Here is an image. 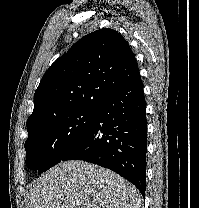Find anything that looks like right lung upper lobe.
Instances as JSON below:
<instances>
[{"instance_id":"1","label":"right lung upper lobe","mask_w":199,"mask_h":208,"mask_svg":"<svg viewBox=\"0 0 199 208\" xmlns=\"http://www.w3.org/2000/svg\"><path fill=\"white\" fill-rule=\"evenodd\" d=\"M140 78L128 42L112 29H100L80 39L43 75L34 94L27 130L60 114L95 107L108 95Z\"/></svg>"}]
</instances>
